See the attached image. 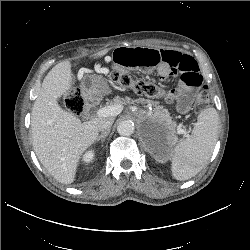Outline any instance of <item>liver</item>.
<instances>
[{"label": "liver", "instance_id": "liver-1", "mask_svg": "<svg viewBox=\"0 0 250 250\" xmlns=\"http://www.w3.org/2000/svg\"><path fill=\"white\" fill-rule=\"evenodd\" d=\"M107 53L102 50L95 58ZM73 85L70 61L55 65L44 78L31 113L32 144L46 170L60 183L71 184L84 151L98 138V124L103 118L86 122L58 105V98Z\"/></svg>", "mask_w": 250, "mask_h": 250}]
</instances>
